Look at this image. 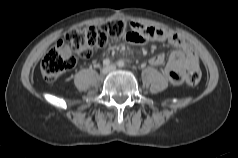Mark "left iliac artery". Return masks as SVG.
Wrapping results in <instances>:
<instances>
[{
	"instance_id": "44dca946",
	"label": "left iliac artery",
	"mask_w": 238,
	"mask_h": 158,
	"mask_svg": "<svg viewBox=\"0 0 238 158\" xmlns=\"http://www.w3.org/2000/svg\"><path fill=\"white\" fill-rule=\"evenodd\" d=\"M117 65H118L119 67H124V66H125V62L122 61V60H119V61L117 62Z\"/></svg>"
}]
</instances>
